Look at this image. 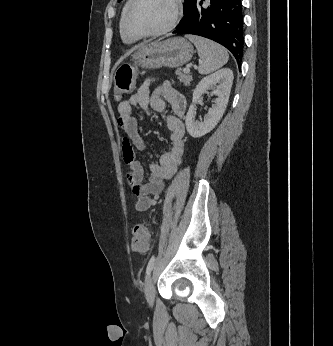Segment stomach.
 Listing matches in <instances>:
<instances>
[{"label": "stomach", "instance_id": "obj_1", "mask_svg": "<svg viewBox=\"0 0 333 346\" xmlns=\"http://www.w3.org/2000/svg\"><path fill=\"white\" fill-rule=\"evenodd\" d=\"M193 45L182 37H174L140 47L133 55L134 64L144 69L176 68L189 62Z\"/></svg>", "mask_w": 333, "mask_h": 346}]
</instances>
